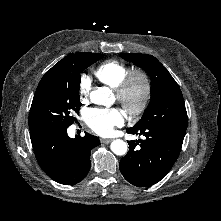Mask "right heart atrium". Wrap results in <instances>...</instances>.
<instances>
[{"mask_svg": "<svg viewBox=\"0 0 221 221\" xmlns=\"http://www.w3.org/2000/svg\"><path fill=\"white\" fill-rule=\"evenodd\" d=\"M91 90V80L87 76H82L79 82V93L82 100L88 99Z\"/></svg>", "mask_w": 221, "mask_h": 221, "instance_id": "obj_1", "label": "right heart atrium"}]
</instances>
